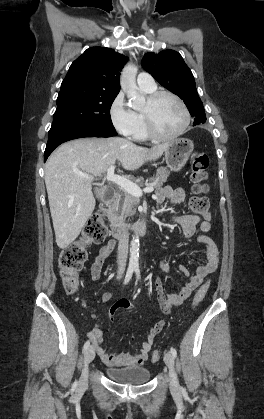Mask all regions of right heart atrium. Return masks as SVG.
I'll use <instances>...</instances> for the list:
<instances>
[{"mask_svg":"<svg viewBox=\"0 0 264 419\" xmlns=\"http://www.w3.org/2000/svg\"><path fill=\"white\" fill-rule=\"evenodd\" d=\"M110 118L115 129L124 136H132L136 128V116L126 101L123 92H119L113 99L110 109Z\"/></svg>","mask_w":264,"mask_h":419,"instance_id":"right-heart-atrium-1","label":"right heart atrium"}]
</instances>
